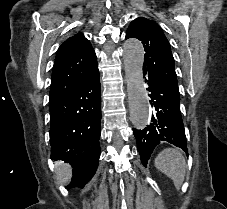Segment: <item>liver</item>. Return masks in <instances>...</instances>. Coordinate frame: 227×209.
I'll list each match as a JSON object with an SVG mask.
<instances>
[{
  "mask_svg": "<svg viewBox=\"0 0 227 209\" xmlns=\"http://www.w3.org/2000/svg\"><path fill=\"white\" fill-rule=\"evenodd\" d=\"M55 169L59 183H65V179H67L68 175H70L71 173L69 165H63V163H56Z\"/></svg>",
  "mask_w": 227,
  "mask_h": 209,
  "instance_id": "liver-1",
  "label": "liver"
}]
</instances>
